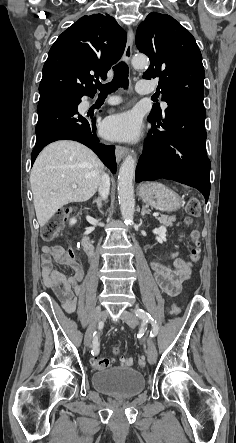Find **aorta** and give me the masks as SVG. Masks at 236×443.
Returning a JSON list of instances; mask_svg holds the SVG:
<instances>
[{
  "label": "aorta",
  "mask_w": 236,
  "mask_h": 443,
  "mask_svg": "<svg viewBox=\"0 0 236 443\" xmlns=\"http://www.w3.org/2000/svg\"><path fill=\"white\" fill-rule=\"evenodd\" d=\"M148 58L145 55H136L132 58V65L135 68H144L148 65ZM136 159L128 155L121 164L118 175V199L120 211L126 223H131L134 217V177Z\"/></svg>",
  "instance_id": "obj_1"
}]
</instances>
